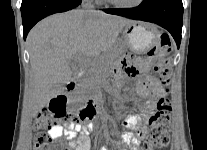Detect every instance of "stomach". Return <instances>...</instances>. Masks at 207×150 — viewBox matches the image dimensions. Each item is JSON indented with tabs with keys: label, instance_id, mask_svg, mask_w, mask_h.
Returning a JSON list of instances; mask_svg holds the SVG:
<instances>
[{
	"label": "stomach",
	"instance_id": "obj_1",
	"mask_svg": "<svg viewBox=\"0 0 207 150\" xmlns=\"http://www.w3.org/2000/svg\"><path fill=\"white\" fill-rule=\"evenodd\" d=\"M158 35L155 28L132 22L122 29L118 45L122 50L128 47L141 54L157 42Z\"/></svg>",
	"mask_w": 207,
	"mask_h": 150
}]
</instances>
